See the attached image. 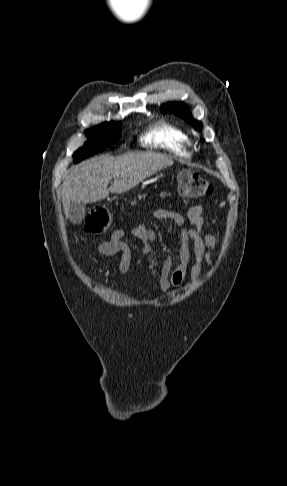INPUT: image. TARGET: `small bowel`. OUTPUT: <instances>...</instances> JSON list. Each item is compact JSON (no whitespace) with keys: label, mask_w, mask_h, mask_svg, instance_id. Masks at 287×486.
I'll return each mask as SVG.
<instances>
[{"label":"small bowel","mask_w":287,"mask_h":486,"mask_svg":"<svg viewBox=\"0 0 287 486\" xmlns=\"http://www.w3.org/2000/svg\"><path fill=\"white\" fill-rule=\"evenodd\" d=\"M153 217L157 220H169L179 230L180 248L178 251V264L174 265L173 255L165 251L164 263L159 278V287L162 292L180 286L190 287L201 275L202 263L211 265L212 251L216 247V237L212 234L202 236L205 222V212L200 206L192 207L186 216L175 209H158ZM126 234H130L140 241V249L143 253L152 250V244L158 241L156 232L146 226L138 225L130 228L115 230L108 240L101 242L97 251L102 256L120 255L119 271L126 274L131 266L132 251L130 245L124 240ZM192 255L193 264L189 269V278L186 280L189 263Z\"/></svg>","instance_id":"c3829d8e"}]
</instances>
